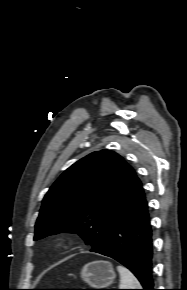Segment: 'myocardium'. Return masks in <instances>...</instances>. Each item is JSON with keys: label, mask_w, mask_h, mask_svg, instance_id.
I'll return each instance as SVG.
<instances>
[{"label": "myocardium", "mask_w": 187, "mask_h": 290, "mask_svg": "<svg viewBox=\"0 0 187 290\" xmlns=\"http://www.w3.org/2000/svg\"><path fill=\"white\" fill-rule=\"evenodd\" d=\"M55 247L60 249L62 247H64L67 244V237L66 236H58L55 239Z\"/></svg>", "instance_id": "1"}]
</instances>
